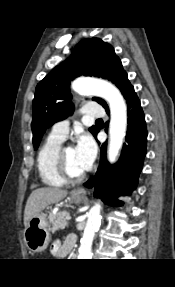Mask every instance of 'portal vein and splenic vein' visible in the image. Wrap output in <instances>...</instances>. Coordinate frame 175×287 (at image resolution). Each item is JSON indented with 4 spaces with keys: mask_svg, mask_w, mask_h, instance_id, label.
Returning a JSON list of instances; mask_svg holds the SVG:
<instances>
[{
    "mask_svg": "<svg viewBox=\"0 0 175 287\" xmlns=\"http://www.w3.org/2000/svg\"><path fill=\"white\" fill-rule=\"evenodd\" d=\"M66 220H71V216L69 214L66 216Z\"/></svg>",
    "mask_w": 175,
    "mask_h": 287,
    "instance_id": "obj_1",
    "label": "portal vein and splenic vein"
}]
</instances>
